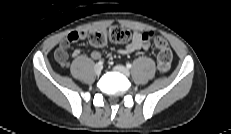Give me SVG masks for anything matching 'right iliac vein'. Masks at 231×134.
<instances>
[{"instance_id": "1", "label": "right iliac vein", "mask_w": 231, "mask_h": 134, "mask_svg": "<svg viewBox=\"0 0 231 134\" xmlns=\"http://www.w3.org/2000/svg\"><path fill=\"white\" fill-rule=\"evenodd\" d=\"M101 71H102V67H101L100 65L96 64V65L94 66V72H95V74H96V75H100V74H101Z\"/></svg>"}]
</instances>
